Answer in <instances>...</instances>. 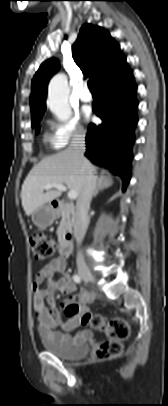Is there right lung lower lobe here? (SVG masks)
I'll return each instance as SVG.
<instances>
[{"label": "right lung lower lobe", "instance_id": "right-lung-lower-lobe-1", "mask_svg": "<svg viewBox=\"0 0 168 406\" xmlns=\"http://www.w3.org/2000/svg\"><path fill=\"white\" fill-rule=\"evenodd\" d=\"M98 101L94 113L102 124H90L85 156L94 164L109 167L123 180V190L130 181L134 128L138 122L137 86L132 70L123 67L97 86Z\"/></svg>", "mask_w": 168, "mask_h": 406}]
</instances>
